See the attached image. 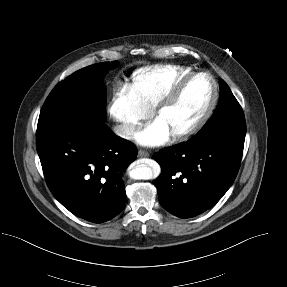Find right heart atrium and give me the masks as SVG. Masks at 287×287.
Returning <instances> with one entry per match:
<instances>
[{"instance_id": "obj_1", "label": "right heart atrium", "mask_w": 287, "mask_h": 287, "mask_svg": "<svg viewBox=\"0 0 287 287\" xmlns=\"http://www.w3.org/2000/svg\"><path fill=\"white\" fill-rule=\"evenodd\" d=\"M108 113L117 123L119 134L131 138L146 118L147 111L139 104L128 84H121L115 90L109 105Z\"/></svg>"}]
</instances>
